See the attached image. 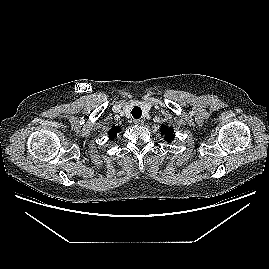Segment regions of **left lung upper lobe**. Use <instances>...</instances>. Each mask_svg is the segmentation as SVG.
Masks as SVG:
<instances>
[{
    "mask_svg": "<svg viewBox=\"0 0 269 269\" xmlns=\"http://www.w3.org/2000/svg\"><path fill=\"white\" fill-rule=\"evenodd\" d=\"M174 130L171 127H168L166 125L161 126V134L164 135V139L167 142H171L174 139Z\"/></svg>",
    "mask_w": 269,
    "mask_h": 269,
    "instance_id": "1",
    "label": "left lung upper lobe"
}]
</instances>
